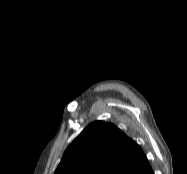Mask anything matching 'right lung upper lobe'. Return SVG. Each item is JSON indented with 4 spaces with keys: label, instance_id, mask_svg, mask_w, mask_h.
<instances>
[{
    "label": "right lung upper lobe",
    "instance_id": "right-lung-upper-lobe-1",
    "mask_svg": "<svg viewBox=\"0 0 187 174\" xmlns=\"http://www.w3.org/2000/svg\"><path fill=\"white\" fill-rule=\"evenodd\" d=\"M54 174H154L142 149L115 125L95 121L68 146Z\"/></svg>",
    "mask_w": 187,
    "mask_h": 174
}]
</instances>
